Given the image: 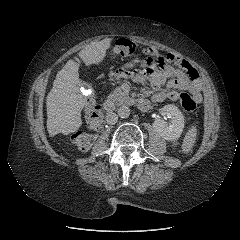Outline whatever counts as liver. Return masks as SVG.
<instances>
[{"label":"liver","mask_w":240,"mask_h":240,"mask_svg":"<svg viewBox=\"0 0 240 240\" xmlns=\"http://www.w3.org/2000/svg\"><path fill=\"white\" fill-rule=\"evenodd\" d=\"M111 41V38H106L92 43L82 49L78 56L86 66L98 64L104 59ZM78 70L79 65L69 60L57 73L53 88L47 95V131L51 137L59 133L68 135L82 125L81 111L85 106V97L80 92L82 80Z\"/></svg>","instance_id":"obj_1"}]
</instances>
